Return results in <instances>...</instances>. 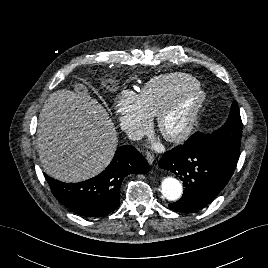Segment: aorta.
Instances as JSON below:
<instances>
[{
  "label": "aorta",
  "instance_id": "762f6f07",
  "mask_svg": "<svg viewBox=\"0 0 268 268\" xmlns=\"http://www.w3.org/2000/svg\"><path fill=\"white\" fill-rule=\"evenodd\" d=\"M182 184L174 177H165L161 183V192L169 201L178 200L182 195Z\"/></svg>",
  "mask_w": 268,
  "mask_h": 268
}]
</instances>
